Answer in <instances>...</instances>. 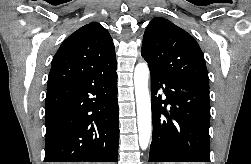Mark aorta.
I'll return each mask as SVG.
<instances>
[{
    "instance_id": "1",
    "label": "aorta",
    "mask_w": 251,
    "mask_h": 164,
    "mask_svg": "<svg viewBox=\"0 0 251 164\" xmlns=\"http://www.w3.org/2000/svg\"><path fill=\"white\" fill-rule=\"evenodd\" d=\"M149 68L138 63L134 70V87L137 105V124L141 149L148 147L151 136V102L148 89Z\"/></svg>"
}]
</instances>
